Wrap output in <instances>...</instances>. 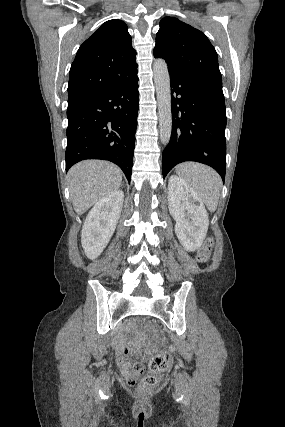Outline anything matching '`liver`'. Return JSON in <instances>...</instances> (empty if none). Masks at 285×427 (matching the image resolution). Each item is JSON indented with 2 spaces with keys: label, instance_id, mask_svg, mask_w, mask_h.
<instances>
[{
  "label": "liver",
  "instance_id": "obj_1",
  "mask_svg": "<svg viewBox=\"0 0 285 427\" xmlns=\"http://www.w3.org/2000/svg\"><path fill=\"white\" fill-rule=\"evenodd\" d=\"M67 178L74 210L82 215L121 186L122 171L107 161L85 160L74 165Z\"/></svg>",
  "mask_w": 285,
  "mask_h": 427
}]
</instances>
